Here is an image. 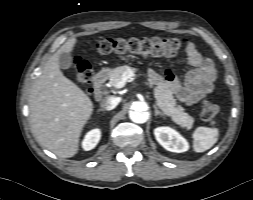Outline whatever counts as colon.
<instances>
[{"instance_id": "1", "label": "colon", "mask_w": 253, "mask_h": 200, "mask_svg": "<svg viewBox=\"0 0 253 200\" xmlns=\"http://www.w3.org/2000/svg\"><path fill=\"white\" fill-rule=\"evenodd\" d=\"M189 45L177 38L151 37L132 39H103L98 44L101 53H143L154 56H175ZM77 77L80 81H88L91 78V69L86 61L76 63ZM219 112V107L210 101H205L201 107V118L204 122L213 124Z\"/></svg>"}]
</instances>
